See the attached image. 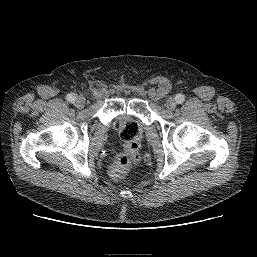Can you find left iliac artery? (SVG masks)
Listing matches in <instances>:
<instances>
[{"label": "left iliac artery", "instance_id": "1", "mask_svg": "<svg viewBox=\"0 0 257 257\" xmlns=\"http://www.w3.org/2000/svg\"><path fill=\"white\" fill-rule=\"evenodd\" d=\"M175 100H176L177 103L181 104L185 101V96L182 95V94H177L175 96Z\"/></svg>", "mask_w": 257, "mask_h": 257}]
</instances>
